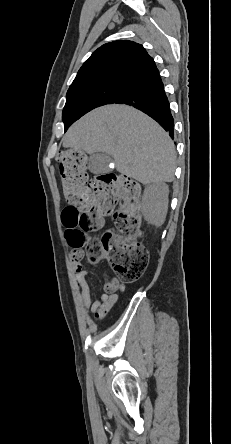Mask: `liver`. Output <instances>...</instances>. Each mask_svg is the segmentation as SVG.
<instances>
[{
  "label": "liver",
  "instance_id": "obj_1",
  "mask_svg": "<svg viewBox=\"0 0 231 444\" xmlns=\"http://www.w3.org/2000/svg\"><path fill=\"white\" fill-rule=\"evenodd\" d=\"M62 142L64 148L111 155L118 172L145 185L174 179L176 152L168 133L127 105L92 110L69 128Z\"/></svg>",
  "mask_w": 231,
  "mask_h": 444
}]
</instances>
